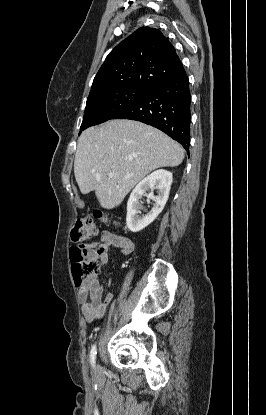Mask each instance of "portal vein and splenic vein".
<instances>
[{"label":"portal vein and splenic vein","mask_w":266,"mask_h":415,"mask_svg":"<svg viewBox=\"0 0 266 415\" xmlns=\"http://www.w3.org/2000/svg\"><path fill=\"white\" fill-rule=\"evenodd\" d=\"M108 177H109V178H113V177H114V173L109 172V173H108ZM130 177H131V175H127V176H125L124 178H125V179H128V178H130Z\"/></svg>","instance_id":"obj_1"}]
</instances>
